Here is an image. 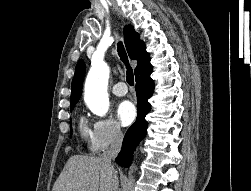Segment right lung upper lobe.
Masks as SVG:
<instances>
[{"instance_id": "obj_1", "label": "right lung upper lobe", "mask_w": 251, "mask_h": 191, "mask_svg": "<svg viewBox=\"0 0 251 191\" xmlns=\"http://www.w3.org/2000/svg\"><path fill=\"white\" fill-rule=\"evenodd\" d=\"M124 41L130 58L135 59L138 62L137 67L135 68L136 81L149 78L153 69L150 64V56L145 50L144 42L140 40V35L134 30L133 26H125ZM84 75L85 64L82 60H79L76 65L75 75L71 85L72 92L70 106L75 105L81 97Z\"/></svg>"}]
</instances>
